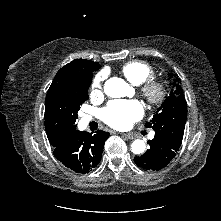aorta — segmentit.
Listing matches in <instances>:
<instances>
[{"mask_svg": "<svg viewBox=\"0 0 221 221\" xmlns=\"http://www.w3.org/2000/svg\"><path fill=\"white\" fill-rule=\"evenodd\" d=\"M129 88L123 79L113 77L105 82L104 92L109 97L120 98L127 95ZM131 148L134 154H142L146 149V144L143 140L137 139L133 141Z\"/></svg>", "mask_w": 221, "mask_h": 221, "instance_id": "762f6f07", "label": "aorta"}]
</instances>
